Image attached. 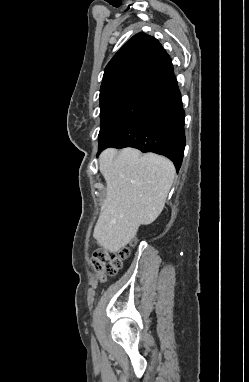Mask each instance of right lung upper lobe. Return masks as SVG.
<instances>
[{
    "instance_id": "1",
    "label": "right lung upper lobe",
    "mask_w": 249,
    "mask_h": 382,
    "mask_svg": "<svg viewBox=\"0 0 249 382\" xmlns=\"http://www.w3.org/2000/svg\"><path fill=\"white\" fill-rule=\"evenodd\" d=\"M176 83L165 49L156 38L138 33L107 64L100 88V108L126 99L152 102Z\"/></svg>"
}]
</instances>
